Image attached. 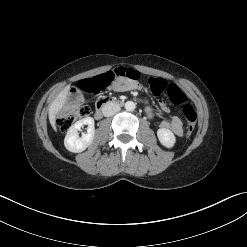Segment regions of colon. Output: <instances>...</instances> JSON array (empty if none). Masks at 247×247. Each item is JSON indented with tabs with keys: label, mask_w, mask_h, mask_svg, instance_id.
Instances as JSON below:
<instances>
[{
	"label": "colon",
	"mask_w": 247,
	"mask_h": 247,
	"mask_svg": "<svg viewBox=\"0 0 247 247\" xmlns=\"http://www.w3.org/2000/svg\"><path fill=\"white\" fill-rule=\"evenodd\" d=\"M127 77L133 80L139 78V73L133 69L119 67L114 70H106L105 72L90 76L86 81L79 85V90L93 92L97 87H105L113 84L116 78ZM148 84L154 95L166 93L169 101L173 105H183L182 113L187 122V135H190L196 124L197 113L191 104L187 103V97L183 91L174 84H168L160 78H149ZM77 98H73V104L67 108V111L57 119V125L62 132L67 131L79 119L89 115L90 108L87 105H78Z\"/></svg>",
	"instance_id": "colon-1"
}]
</instances>
